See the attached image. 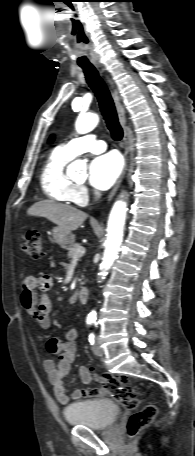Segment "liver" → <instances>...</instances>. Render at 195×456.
Returning <instances> with one entry per match:
<instances>
[{
	"label": "liver",
	"mask_w": 195,
	"mask_h": 456,
	"mask_svg": "<svg viewBox=\"0 0 195 456\" xmlns=\"http://www.w3.org/2000/svg\"><path fill=\"white\" fill-rule=\"evenodd\" d=\"M28 215L44 217L66 232L77 230L87 219L85 212L53 200H44L33 204L28 210Z\"/></svg>",
	"instance_id": "liver-1"
}]
</instances>
